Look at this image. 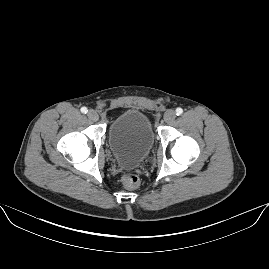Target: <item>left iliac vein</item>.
Returning <instances> with one entry per match:
<instances>
[{
    "label": "left iliac vein",
    "mask_w": 269,
    "mask_h": 269,
    "mask_svg": "<svg viewBox=\"0 0 269 269\" xmlns=\"http://www.w3.org/2000/svg\"><path fill=\"white\" fill-rule=\"evenodd\" d=\"M176 117V112L174 110H167L164 114V120L167 123L173 122Z\"/></svg>",
    "instance_id": "1"
}]
</instances>
